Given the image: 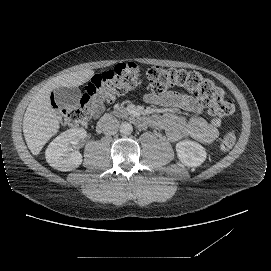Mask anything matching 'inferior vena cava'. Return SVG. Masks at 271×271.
I'll return each instance as SVG.
<instances>
[{
	"label": "inferior vena cava",
	"mask_w": 271,
	"mask_h": 271,
	"mask_svg": "<svg viewBox=\"0 0 271 271\" xmlns=\"http://www.w3.org/2000/svg\"><path fill=\"white\" fill-rule=\"evenodd\" d=\"M119 126V121L110 115H107L104 119H102L101 127L103 133L106 135H114L118 131Z\"/></svg>",
	"instance_id": "1"
}]
</instances>
